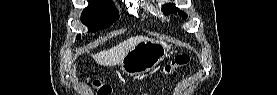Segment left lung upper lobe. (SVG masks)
<instances>
[{
	"label": "left lung upper lobe",
	"instance_id": "obj_1",
	"mask_svg": "<svg viewBox=\"0 0 277 95\" xmlns=\"http://www.w3.org/2000/svg\"><path fill=\"white\" fill-rule=\"evenodd\" d=\"M162 10L164 12V14H170V13H178L179 15H181L184 19L187 18V14H185L183 11H181L179 8L175 7L174 4H167L165 6L162 7Z\"/></svg>",
	"mask_w": 277,
	"mask_h": 95
}]
</instances>
